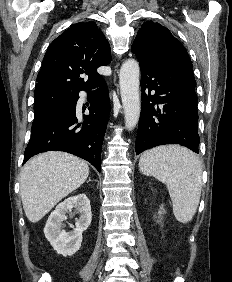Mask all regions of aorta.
<instances>
[{
    "instance_id": "obj_1",
    "label": "aorta",
    "mask_w": 232,
    "mask_h": 282,
    "mask_svg": "<svg viewBox=\"0 0 232 282\" xmlns=\"http://www.w3.org/2000/svg\"><path fill=\"white\" fill-rule=\"evenodd\" d=\"M139 74L140 68L136 60L128 59L122 64L119 84L128 130L134 129L140 116Z\"/></svg>"
}]
</instances>
